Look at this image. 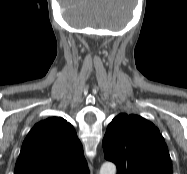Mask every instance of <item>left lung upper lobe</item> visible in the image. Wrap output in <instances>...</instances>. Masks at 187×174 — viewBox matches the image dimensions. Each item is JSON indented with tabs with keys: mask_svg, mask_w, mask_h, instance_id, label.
<instances>
[{
	"mask_svg": "<svg viewBox=\"0 0 187 174\" xmlns=\"http://www.w3.org/2000/svg\"><path fill=\"white\" fill-rule=\"evenodd\" d=\"M103 148L105 158L116 164L117 174H172L164 138L140 116H116L107 127Z\"/></svg>",
	"mask_w": 187,
	"mask_h": 174,
	"instance_id": "1",
	"label": "left lung upper lobe"
}]
</instances>
